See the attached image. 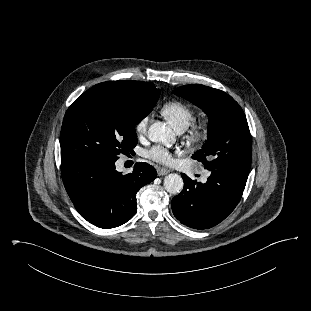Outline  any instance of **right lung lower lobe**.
Listing matches in <instances>:
<instances>
[{
	"instance_id": "obj_1",
	"label": "right lung lower lobe",
	"mask_w": 311,
	"mask_h": 311,
	"mask_svg": "<svg viewBox=\"0 0 311 311\" xmlns=\"http://www.w3.org/2000/svg\"><path fill=\"white\" fill-rule=\"evenodd\" d=\"M66 191L76 210L100 228L118 227L136 213V193L157 176L155 168L137 163L127 175L115 169V162L68 160L61 162Z\"/></svg>"
}]
</instances>
